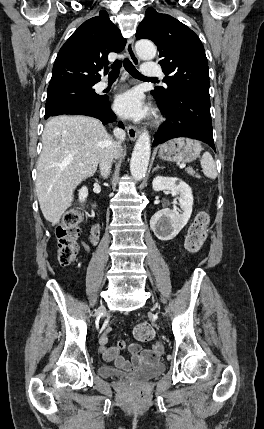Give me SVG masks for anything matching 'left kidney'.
<instances>
[{"label": "left kidney", "instance_id": "5707ae66", "mask_svg": "<svg viewBox=\"0 0 264 429\" xmlns=\"http://www.w3.org/2000/svg\"><path fill=\"white\" fill-rule=\"evenodd\" d=\"M154 191L168 189L173 196H178L181 213L165 208L157 211L150 220V227L156 237L168 241L176 237L184 228L192 214L193 195L191 187L176 177L156 176L153 179Z\"/></svg>", "mask_w": 264, "mask_h": 429}]
</instances>
